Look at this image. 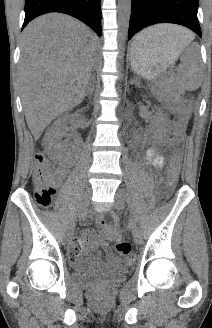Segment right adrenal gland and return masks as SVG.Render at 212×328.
<instances>
[{"label":"right adrenal gland","mask_w":212,"mask_h":328,"mask_svg":"<svg viewBox=\"0 0 212 328\" xmlns=\"http://www.w3.org/2000/svg\"><path fill=\"white\" fill-rule=\"evenodd\" d=\"M92 92H93V89H92V83H90V85H89V87H88V89H87V91H86V93H85L83 99H85L87 96L91 95Z\"/></svg>","instance_id":"2a0ac1e0"}]
</instances>
